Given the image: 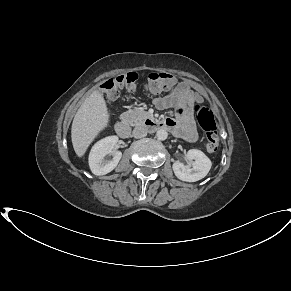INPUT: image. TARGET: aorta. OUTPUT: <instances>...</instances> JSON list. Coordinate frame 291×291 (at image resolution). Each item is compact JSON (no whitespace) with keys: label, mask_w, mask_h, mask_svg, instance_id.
<instances>
[{"label":"aorta","mask_w":291,"mask_h":291,"mask_svg":"<svg viewBox=\"0 0 291 291\" xmlns=\"http://www.w3.org/2000/svg\"><path fill=\"white\" fill-rule=\"evenodd\" d=\"M156 137L158 140H166L167 137H168V133L166 130L164 129H159L157 132H156Z\"/></svg>","instance_id":"1"}]
</instances>
